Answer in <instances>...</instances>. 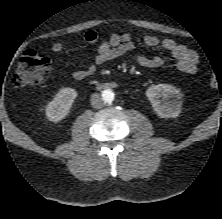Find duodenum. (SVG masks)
Instances as JSON below:
<instances>
[{"label":"duodenum","instance_id":"duodenum-1","mask_svg":"<svg viewBox=\"0 0 222 219\" xmlns=\"http://www.w3.org/2000/svg\"><path fill=\"white\" fill-rule=\"evenodd\" d=\"M106 88H113L115 87V84L114 83H108L105 85Z\"/></svg>","mask_w":222,"mask_h":219}]
</instances>
